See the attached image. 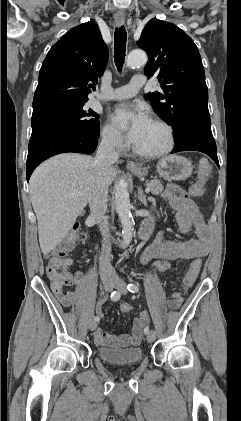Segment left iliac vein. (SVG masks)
I'll return each instance as SVG.
<instances>
[{"mask_svg": "<svg viewBox=\"0 0 241 421\" xmlns=\"http://www.w3.org/2000/svg\"><path fill=\"white\" fill-rule=\"evenodd\" d=\"M114 288L117 289L119 292H121L122 294H126L127 293V287H126V283L119 277H115L114 280ZM156 339V333L154 330L149 331V333L147 334V340L148 342H154Z\"/></svg>", "mask_w": 241, "mask_h": 421, "instance_id": "obj_1", "label": "left iliac vein"}]
</instances>
